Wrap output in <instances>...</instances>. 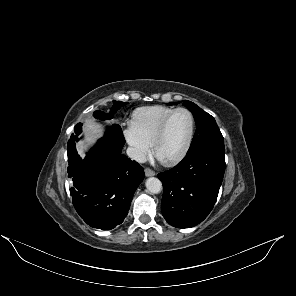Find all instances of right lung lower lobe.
<instances>
[{
  "mask_svg": "<svg viewBox=\"0 0 296 296\" xmlns=\"http://www.w3.org/2000/svg\"><path fill=\"white\" fill-rule=\"evenodd\" d=\"M74 130L76 135H71L67 146L73 205L89 226L113 229L128 214L134 192L144 179V170L121 153L125 139L120 126L109 128L84 159L75 148L82 123Z\"/></svg>",
  "mask_w": 296,
  "mask_h": 296,
  "instance_id": "1",
  "label": "right lung lower lobe"
}]
</instances>
